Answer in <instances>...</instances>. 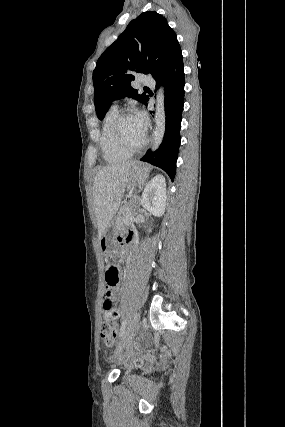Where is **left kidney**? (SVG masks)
Returning <instances> with one entry per match:
<instances>
[{
	"mask_svg": "<svg viewBox=\"0 0 285 427\" xmlns=\"http://www.w3.org/2000/svg\"><path fill=\"white\" fill-rule=\"evenodd\" d=\"M166 183L165 177L156 175L144 188L141 204L154 216L160 217L165 212L166 206ZM151 231V229H149Z\"/></svg>",
	"mask_w": 285,
	"mask_h": 427,
	"instance_id": "5707ae66",
	"label": "left kidney"
}]
</instances>
